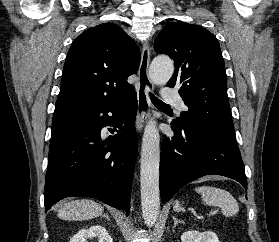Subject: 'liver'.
I'll return each instance as SVG.
<instances>
[{"label":"liver","mask_w":279,"mask_h":242,"mask_svg":"<svg viewBox=\"0 0 279 242\" xmlns=\"http://www.w3.org/2000/svg\"><path fill=\"white\" fill-rule=\"evenodd\" d=\"M104 208L93 200L81 199L64 203L58 210L63 220L81 221L100 216Z\"/></svg>","instance_id":"liver-1"}]
</instances>
